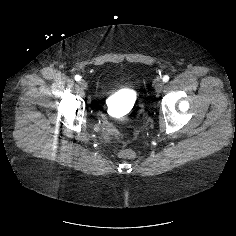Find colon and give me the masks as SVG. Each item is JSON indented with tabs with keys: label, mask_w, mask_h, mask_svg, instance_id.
Masks as SVG:
<instances>
[{
	"label": "colon",
	"mask_w": 236,
	"mask_h": 236,
	"mask_svg": "<svg viewBox=\"0 0 236 236\" xmlns=\"http://www.w3.org/2000/svg\"><path fill=\"white\" fill-rule=\"evenodd\" d=\"M119 156L123 157V158H132V157H134V152L131 150H122L119 153Z\"/></svg>",
	"instance_id": "obj_1"
}]
</instances>
